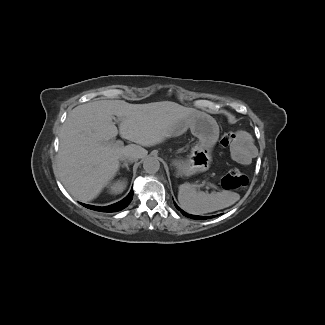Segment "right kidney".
Here are the masks:
<instances>
[{
	"label": "right kidney",
	"mask_w": 325,
	"mask_h": 325,
	"mask_svg": "<svg viewBox=\"0 0 325 325\" xmlns=\"http://www.w3.org/2000/svg\"><path fill=\"white\" fill-rule=\"evenodd\" d=\"M126 181L125 180H118L108 185V191L111 194H119L122 193L123 190L126 188Z\"/></svg>",
	"instance_id": "ca27d5eb"
}]
</instances>
